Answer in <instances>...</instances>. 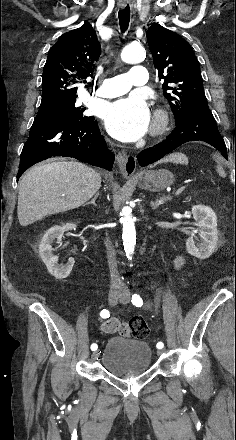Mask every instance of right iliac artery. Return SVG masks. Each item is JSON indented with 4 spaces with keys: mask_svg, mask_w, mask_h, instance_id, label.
Segmentation results:
<instances>
[{
    "mask_svg": "<svg viewBox=\"0 0 236 440\" xmlns=\"http://www.w3.org/2000/svg\"><path fill=\"white\" fill-rule=\"evenodd\" d=\"M100 316H101L102 318L105 319V318H108V317L110 316V313H109L108 310L103 309V310L100 312ZM97 348H98L97 344L93 343V344L91 345V350H92V351L97 350Z\"/></svg>",
    "mask_w": 236,
    "mask_h": 440,
    "instance_id": "1",
    "label": "right iliac artery"
}]
</instances>
